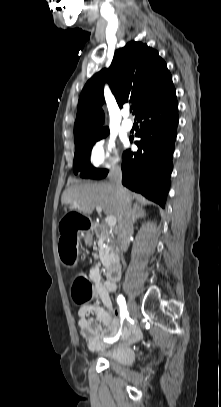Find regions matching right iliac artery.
Masks as SVG:
<instances>
[{
    "label": "right iliac artery",
    "mask_w": 221,
    "mask_h": 407,
    "mask_svg": "<svg viewBox=\"0 0 221 407\" xmlns=\"http://www.w3.org/2000/svg\"><path fill=\"white\" fill-rule=\"evenodd\" d=\"M117 302H118V304L120 306V319H121L120 322H121V326H120L118 334L115 337L107 339V341L110 342V343L116 342L119 339V336H120L121 330H122V324L124 322L125 317L128 316V311H127L125 298L122 295H119L118 298H117Z\"/></svg>",
    "instance_id": "1"
}]
</instances>
